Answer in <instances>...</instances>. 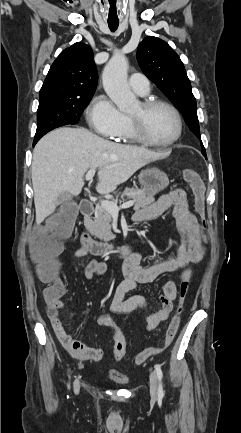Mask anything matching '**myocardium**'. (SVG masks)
<instances>
[{"mask_svg":"<svg viewBox=\"0 0 241 433\" xmlns=\"http://www.w3.org/2000/svg\"><path fill=\"white\" fill-rule=\"evenodd\" d=\"M140 104L145 113L151 111L156 107H165L169 109L175 116L177 122V132L176 135L167 142L155 141L148 136L144 128L143 121L129 115L130 126L136 139L145 145L154 146V147H168L175 144L180 139L183 132V121L178 109L171 103L160 99H146L141 101Z\"/></svg>","mask_w":241,"mask_h":433,"instance_id":"f54148a6","label":"myocardium"}]
</instances>
